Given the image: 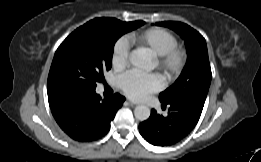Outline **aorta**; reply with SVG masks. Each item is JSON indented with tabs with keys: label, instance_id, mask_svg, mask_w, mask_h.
Segmentation results:
<instances>
[{
	"label": "aorta",
	"instance_id": "aorta-1",
	"mask_svg": "<svg viewBox=\"0 0 261 162\" xmlns=\"http://www.w3.org/2000/svg\"><path fill=\"white\" fill-rule=\"evenodd\" d=\"M129 61L137 70L149 71L152 68L151 59L142 50L133 51ZM150 113V109L144 105H139L134 109L135 118L140 121L147 120Z\"/></svg>",
	"mask_w": 261,
	"mask_h": 162
}]
</instances>
